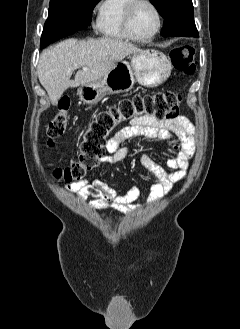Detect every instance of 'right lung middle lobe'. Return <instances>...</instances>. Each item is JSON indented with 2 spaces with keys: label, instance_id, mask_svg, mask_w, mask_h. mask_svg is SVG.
<instances>
[{
  "label": "right lung middle lobe",
  "instance_id": "1",
  "mask_svg": "<svg viewBox=\"0 0 240 329\" xmlns=\"http://www.w3.org/2000/svg\"><path fill=\"white\" fill-rule=\"evenodd\" d=\"M100 0H51L40 48L87 28L91 23L94 4Z\"/></svg>",
  "mask_w": 240,
  "mask_h": 329
}]
</instances>
